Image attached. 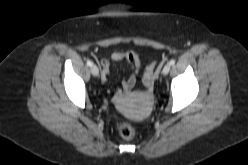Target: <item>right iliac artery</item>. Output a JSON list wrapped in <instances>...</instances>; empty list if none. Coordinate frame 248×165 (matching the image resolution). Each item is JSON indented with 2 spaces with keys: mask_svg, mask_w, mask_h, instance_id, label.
<instances>
[{
  "mask_svg": "<svg viewBox=\"0 0 248 165\" xmlns=\"http://www.w3.org/2000/svg\"><path fill=\"white\" fill-rule=\"evenodd\" d=\"M87 65H88V66H92L93 63H92L90 60H87Z\"/></svg>",
  "mask_w": 248,
  "mask_h": 165,
  "instance_id": "82829eb1",
  "label": "right iliac artery"
}]
</instances>
